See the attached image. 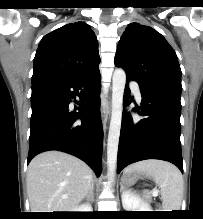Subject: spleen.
I'll list each match as a JSON object with an SVG mask.
<instances>
[{
    "instance_id": "3e777b00",
    "label": "spleen",
    "mask_w": 203,
    "mask_h": 219,
    "mask_svg": "<svg viewBox=\"0 0 203 219\" xmlns=\"http://www.w3.org/2000/svg\"><path fill=\"white\" fill-rule=\"evenodd\" d=\"M144 172L153 177L161 189L164 211L180 210L183 198V178L173 164L162 160H144L128 166L124 173Z\"/></svg>"
}]
</instances>
